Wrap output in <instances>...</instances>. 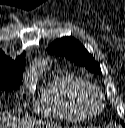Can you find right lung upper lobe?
I'll return each mask as SVG.
<instances>
[{"instance_id":"cb5924a9","label":"right lung upper lobe","mask_w":125,"mask_h":128,"mask_svg":"<svg viewBox=\"0 0 125 128\" xmlns=\"http://www.w3.org/2000/svg\"><path fill=\"white\" fill-rule=\"evenodd\" d=\"M25 67V53L12 60L5 56L4 52L0 49V69L23 71Z\"/></svg>"}]
</instances>
